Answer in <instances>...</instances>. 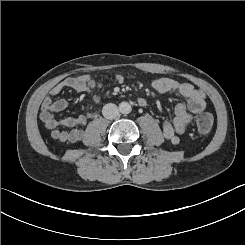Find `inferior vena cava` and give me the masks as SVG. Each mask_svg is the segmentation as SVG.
<instances>
[{"mask_svg":"<svg viewBox=\"0 0 245 245\" xmlns=\"http://www.w3.org/2000/svg\"><path fill=\"white\" fill-rule=\"evenodd\" d=\"M102 114L106 119H115L119 115L118 107L113 103L106 104L102 109Z\"/></svg>","mask_w":245,"mask_h":245,"instance_id":"1","label":"inferior vena cava"}]
</instances>
